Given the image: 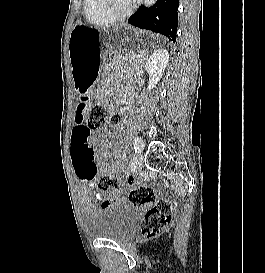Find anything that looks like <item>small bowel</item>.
<instances>
[{
  "instance_id": "obj_1",
  "label": "small bowel",
  "mask_w": 265,
  "mask_h": 273,
  "mask_svg": "<svg viewBox=\"0 0 265 273\" xmlns=\"http://www.w3.org/2000/svg\"><path fill=\"white\" fill-rule=\"evenodd\" d=\"M89 137L90 132L86 125L84 128L73 126L70 137V160L75 177L81 185V200L86 210L91 206L90 194H93V191H90V185L96 180L99 173L110 174L112 171L108 163L96 162L94 155L90 152ZM112 156L113 152L110 150H105L102 154L103 158ZM95 193L98 198L94 200L95 204L107 203V200H102L106 198L103 190H96Z\"/></svg>"
}]
</instances>
